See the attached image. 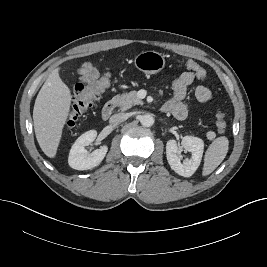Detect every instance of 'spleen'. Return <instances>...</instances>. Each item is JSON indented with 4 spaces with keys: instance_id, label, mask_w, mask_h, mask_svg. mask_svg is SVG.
I'll return each mask as SVG.
<instances>
[{
    "instance_id": "spleen-1",
    "label": "spleen",
    "mask_w": 267,
    "mask_h": 267,
    "mask_svg": "<svg viewBox=\"0 0 267 267\" xmlns=\"http://www.w3.org/2000/svg\"><path fill=\"white\" fill-rule=\"evenodd\" d=\"M229 141L225 136L216 138L209 146L204 157L202 175L211 174L224 160L228 152Z\"/></svg>"
}]
</instances>
